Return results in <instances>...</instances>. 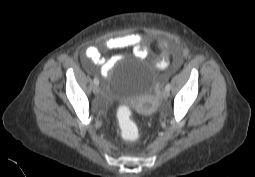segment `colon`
<instances>
[{"instance_id": "5ec220e1", "label": "colon", "mask_w": 255, "mask_h": 177, "mask_svg": "<svg viewBox=\"0 0 255 177\" xmlns=\"http://www.w3.org/2000/svg\"><path fill=\"white\" fill-rule=\"evenodd\" d=\"M156 44L161 50L159 60L154 62L153 67L156 70H163L170 64L173 54L170 52L171 47L165 37H158ZM117 118L122 138L127 142H134L138 138L139 130L133 120L131 110L126 106L120 107Z\"/></svg>"}]
</instances>
